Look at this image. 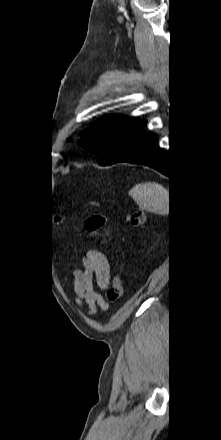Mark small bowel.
I'll use <instances>...</instances> for the list:
<instances>
[{
    "label": "small bowel",
    "instance_id": "small-bowel-1",
    "mask_svg": "<svg viewBox=\"0 0 221 440\" xmlns=\"http://www.w3.org/2000/svg\"><path fill=\"white\" fill-rule=\"evenodd\" d=\"M85 269L72 270L74 279V294L78 304L85 303L90 315L95 314L98 308L107 309L105 300L95 291L94 285L106 289L110 279V266L106 256L96 250L88 252L84 259Z\"/></svg>",
    "mask_w": 221,
    "mask_h": 440
}]
</instances>
